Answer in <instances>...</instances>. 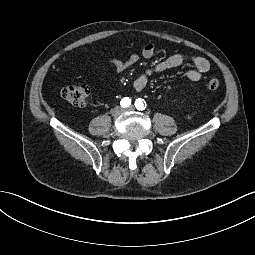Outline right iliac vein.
Segmentation results:
<instances>
[{
    "mask_svg": "<svg viewBox=\"0 0 255 255\" xmlns=\"http://www.w3.org/2000/svg\"><path fill=\"white\" fill-rule=\"evenodd\" d=\"M122 112H123V109L120 106H116L115 108L111 110V115L113 117H118L122 114Z\"/></svg>",
    "mask_w": 255,
    "mask_h": 255,
    "instance_id": "right-iliac-vein-1",
    "label": "right iliac vein"
}]
</instances>
